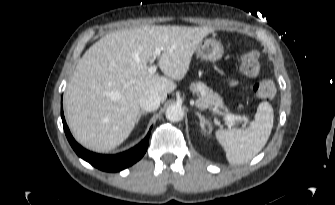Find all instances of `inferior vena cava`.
Instances as JSON below:
<instances>
[{
	"mask_svg": "<svg viewBox=\"0 0 335 205\" xmlns=\"http://www.w3.org/2000/svg\"><path fill=\"white\" fill-rule=\"evenodd\" d=\"M161 102V97L155 90H149L143 93L140 98V107L145 111L156 110Z\"/></svg>",
	"mask_w": 335,
	"mask_h": 205,
	"instance_id": "602c4592",
	"label": "inferior vena cava"
}]
</instances>
